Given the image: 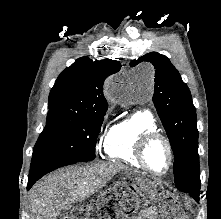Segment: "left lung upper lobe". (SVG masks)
I'll return each instance as SVG.
<instances>
[{"label":"left lung upper lobe","mask_w":221,"mask_h":219,"mask_svg":"<svg viewBox=\"0 0 221 219\" xmlns=\"http://www.w3.org/2000/svg\"><path fill=\"white\" fill-rule=\"evenodd\" d=\"M143 61L156 69L153 102L174 153L176 187L186 193L200 192L198 130L190 91L166 56L151 52L130 65Z\"/></svg>","instance_id":"left-lung-upper-lobe-1"}]
</instances>
